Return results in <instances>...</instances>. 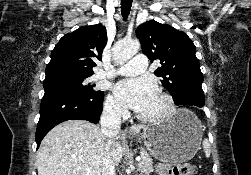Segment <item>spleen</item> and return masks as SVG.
<instances>
[{"label":"spleen","instance_id":"obj_1","mask_svg":"<svg viewBox=\"0 0 251 175\" xmlns=\"http://www.w3.org/2000/svg\"><path fill=\"white\" fill-rule=\"evenodd\" d=\"M202 147H203V149L205 151L206 157H209V155L211 153L209 139H203V141H202Z\"/></svg>","mask_w":251,"mask_h":175}]
</instances>
